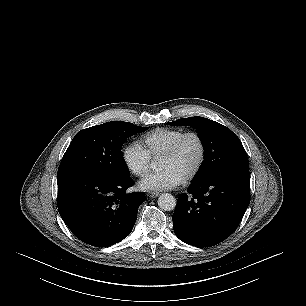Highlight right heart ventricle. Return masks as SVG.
<instances>
[{
	"instance_id": "obj_1",
	"label": "right heart ventricle",
	"mask_w": 306,
	"mask_h": 306,
	"mask_svg": "<svg viewBox=\"0 0 306 306\" xmlns=\"http://www.w3.org/2000/svg\"><path fill=\"white\" fill-rule=\"evenodd\" d=\"M183 133L181 129L157 128L144 134L141 143L151 157L160 158Z\"/></svg>"
}]
</instances>
